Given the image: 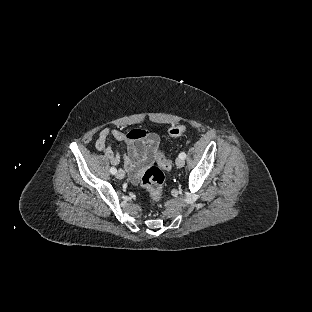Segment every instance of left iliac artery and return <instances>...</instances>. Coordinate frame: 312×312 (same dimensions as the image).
<instances>
[{
  "instance_id": "obj_1",
  "label": "left iliac artery",
  "mask_w": 312,
  "mask_h": 312,
  "mask_svg": "<svg viewBox=\"0 0 312 312\" xmlns=\"http://www.w3.org/2000/svg\"><path fill=\"white\" fill-rule=\"evenodd\" d=\"M179 157H180L181 159H185V158H186V153H185V152L180 153V154H179Z\"/></svg>"
}]
</instances>
